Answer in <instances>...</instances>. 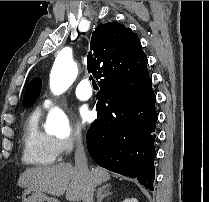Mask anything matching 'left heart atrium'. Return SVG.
I'll return each mask as SVG.
<instances>
[{
  "label": "left heart atrium",
  "instance_id": "1",
  "mask_svg": "<svg viewBox=\"0 0 209 202\" xmlns=\"http://www.w3.org/2000/svg\"><path fill=\"white\" fill-rule=\"evenodd\" d=\"M93 119V112L90 111L88 108H81L78 112V117H77V126H82L84 127L88 123H90Z\"/></svg>",
  "mask_w": 209,
  "mask_h": 202
}]
</instances>
